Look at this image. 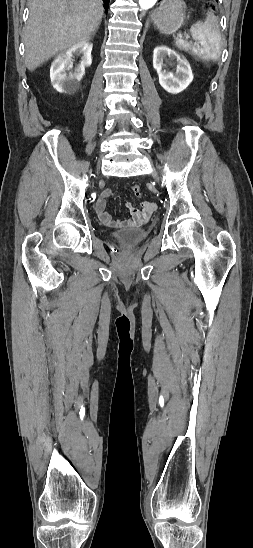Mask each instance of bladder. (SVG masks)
<instances>
[{
    "instance_id": "obj_1",
    "label": "bladder",
    "mask_w": 253,
    "mask_h": 548,
    "mask_svg": "<svg viewBox=\"0 0 253 548\" xmlns=\"http://www.w3.org/2000/svg\"><path fill=\"white\" fill-rule=\"evenodd\" d=\"M147 235V231L143 228H130L112 233V238L120 243L136 244L143 241Z\"/></svg>"
}]
</instances>
